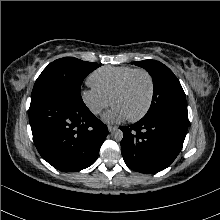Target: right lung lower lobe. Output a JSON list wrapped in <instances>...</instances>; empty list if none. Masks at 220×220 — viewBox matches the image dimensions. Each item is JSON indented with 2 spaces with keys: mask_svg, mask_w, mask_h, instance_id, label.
Wrapping results in <instances>:
<instances>
[{
  "mask_svg": "<svg viewBox=\"0 0 220 220\" xmlns=\"http://www.w3.org/2000/svg\"><path fill=\"white\" fill-rule=\"evenodd\" d=\"M29 119L38 152L64 172L92 165L108 135L107 126L84 103L62 95L32 96Z\"/></svg>",
  "mask_w": 220,
  "mask_h": 220,
  "instance_id": "98d812e1",
  "label": "right lung lower lobe"
}]
</instances>
